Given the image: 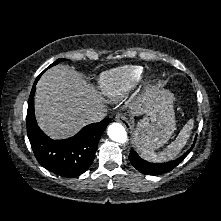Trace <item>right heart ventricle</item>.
Instances as JSON below:
<instances>
[{
  "label": "right heart ventricle",
  "instance_id": "e07e8e85",
  "mask_svg": "<svg viewBox=\"0 0 221 221\" xmlns=\"http://www.w3.org/2000/svg\"><path fill=\"white\" fill-rule=\"evenodd\" d=\"M142 75L141 66H123L103 73L99 79V87L109 98L121 99L135 86Z\"/></svg>",
  "mask_w": 221,
  "mask_h": 221
}]
</instances>
